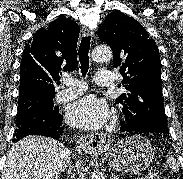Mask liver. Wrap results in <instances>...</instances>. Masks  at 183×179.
<instances>
[{
    "label": "liver",
    "mask_w": 183,
    "mask_h": 179,
    "mask_svg": "<svg viewBox=\"0 0 183 179\" xmlns=\"http://www.w3.org/2000/svg\"><path fill=\"white\" fill-rule=\"evenodd\" d=\"M70 163V150L42 136H27L7 155L2 179H58Z\"/></svg>",
    "instance_id": "obj_1"
}]
</instances>
